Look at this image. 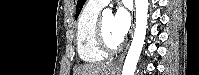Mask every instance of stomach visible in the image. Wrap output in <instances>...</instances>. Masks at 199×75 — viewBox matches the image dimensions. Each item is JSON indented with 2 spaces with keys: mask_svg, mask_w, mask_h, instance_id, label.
Here are the masks:
<instances>
[{
  "mask_svg": "<svg viewBox=\"0 0 199 75\" xmlns=\"http://www.w3.org/2000/svg\"><path fill=\"white\" fill-rule=\"evenodd\" d=\"M111 75H117V70L112 69V70H111Z\"/></svg>",
  "mask_w": 199,
  "mask_h": 75,
  "instance_id": "0dacf381",
  "label": "stomach"
}]
</instances>
